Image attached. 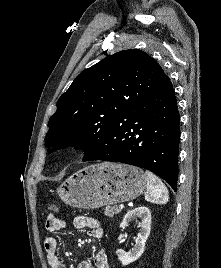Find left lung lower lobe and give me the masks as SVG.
Listing matches in <instances>:
<instances>
[{
    "label": "left lung lower lobe",
    "mask_w": 221,
    "mask_h": 268,
    "mask_svg": "<svg viewBox=\"0 0 221 268\" xmlns=\"http://www.w3.org/2000/svg\"><path fill=\"white\" fill-rule=\"evenodd\" d=\"M180 116L172 84L138 103L113 125L87 161L121 162L146 168L177 189Z\"/></svg>",
    "instance_id": "left-lung-lower-lobe-1"
}]
</instances>
